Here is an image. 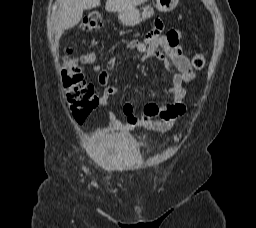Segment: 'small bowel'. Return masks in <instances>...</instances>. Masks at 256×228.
<instances>
[{"instance_id":"c3829d8e","label":"small bowel","mask_w":256,"mask_h":228,"mask_svg":"<svg viewBox=\"0 0 256 228\" xmlns=\"http://www.w3.org/2000/svg\"><path fill=\"white\" fill-rule=\"evenodd\" d=\"M163 24L157 20L153 28L142 39H131L126 43L129 50L141 54L142 60H156L163 67L170 70L174 67L171 85L167 90L172 96V101L157 105L149 103L145 105L141 115H136L130 103H125L122 112L126 117L125 121L117 119L113 112H108L109 125L106 129L99 131L98 136L108 132L127 133L135 129H146L156 132L168 131L174 122L186 112L185 84L194 78V69L191 65V56L184 54L179 45L181 35L177 31H169L162 34ZM117 63V56H111L106 63L107 70H111ZM104 70L99 75V82L104 86L100 97V104L106 106L111 96L116 92V88L109 85V73Z\"/></svg>"}]
</instances>
